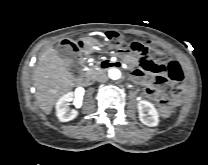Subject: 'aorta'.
<instances>
[{"mask_svg":"<svg viewBox=\"0 0 208 165\" xmlns=\"http://www.w3.org/2000/svg\"><path fill=\"white\" fill-rule=\"evenodd\" d=\"M108 75H109V77H110L111 79L117 80V79H119V78L121 77V72H120V70L117 69V68H111V69H109V71H108Z\"/></svg>","mask_w":208,"mask_h":165,"instance_id":"obj_1","label":"aorta"}]
</instances>
